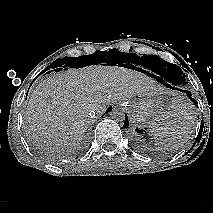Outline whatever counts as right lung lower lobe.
Masks as SVG:
<instances>
[{"label":"right lung lower lobe","mask_w":213,"mask_h":213,"mask_svg":"<svg viewBox=\"0 0 213 213\" xmlns=\"http://www.w3.org/2000/svg\"><path fill=\"white\" fill-rule=\"evenodd\" d=\"M62 68H56V69H54L53 71H60ZM50 72V71H49ZM48 72V73H49ZM110 110H112V107H109L108 109H107V112H109Z\"/></svg>","instance_id":"right-lung-lower-lobe-1"}]
</instances>
